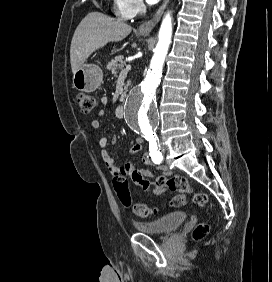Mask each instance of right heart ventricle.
Returning <instances> with one entry per match:
<instances>
[{
    "mask_svg": "<svg viewBox=\"0 0 272 282\" xmlns=\"http://www.w3.org/2000/svg\"><path fill=\"white\" fill-rule=\"evenodd\" d=\"M116 14L118 15V17L119 18H121V19H128V16H126V15H123L121 12H120V10H119V8H120V6H121V3H122V0H116Z\"/></svg>",
    "mask_w": 272,
    "mask_h": 282,
    "instance_id": "obj_1",
    "label": "right heart ventricle"
}]
</instances>
